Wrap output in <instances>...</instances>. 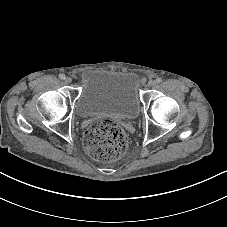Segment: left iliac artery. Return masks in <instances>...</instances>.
<instances>
[{"instance_id": "left-iliac-artery-1", "label": "left iliac artery", "mask_w": 227, "mask_h": 227, "mask_svg": "<svg viewBox=\"0 0 227 227\" xmlns=\"http://www.w3.org/2000/svg\"><path fill=\"white\" fill-rule=\"evenodd\" d=\"M156 82H157V83H161V82H162V79H161V78H157V79H156Z\"/></svg>"}]
</instances>
